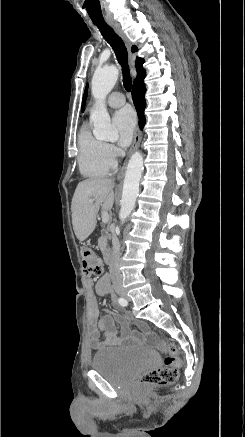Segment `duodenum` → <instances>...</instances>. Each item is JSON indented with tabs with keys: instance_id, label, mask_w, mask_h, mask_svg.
<instances>
[{
	"instance_id": "obj_1",
	"label": "duodenum",
	"mask_w": 245,
	"mask_h": 437,
	"mask_svg": "<svg viewBox=\"0 0 245 437\" xmlns=\"http://www.w3.org/2000/svg\"><path fill=\"white\" fill-rule=\"evenodd\" d=\"M106 236V233H104V237ZM102 253H103V258L105 260L106 263H108L110 261V252L106 247H103L102 249ZM104 277L107 279V282H109V276L108 275H104Z\"/></svg>"
}]
</instances>
